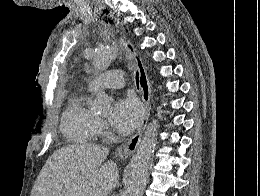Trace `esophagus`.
Wrapping results in <instances>:
<instances>
[{
  "instance_id": "34e87169",
  "label": "esophagus",
  "mask_w": 260,
  "mask_h": 196,
  "mask_svg": "<svg viewBox=\"0 0 260 196\" xmlns=\"http://www.w3.org/2000/svg\"><path fill=\"white\" fill-rule=\"evenodd\" d=\"M121 43L124 45L126 50L135 59L137 71H138V74H139V86H140L141 92H142V101H143V104H144L145 113H144V116H143V119H142V122H141V126L138 129V131L136 132V134L134 136H132V138H130L127 141V143H124L119 148H117L116 156L120 159L127 158L128 156L133 154L134 151L136 150V148L138 147V145L141 141V137L143 135V132H144L146 126H147V121L149 119L150 110H151V103H150L151 86H150L149 79H148V76H147V72L145 70L143 62H142L141 58L139 57V55L136 53L134 46L132 45V43H130L129 40L121 37Z\"/></svg>"
}]
</instances>
